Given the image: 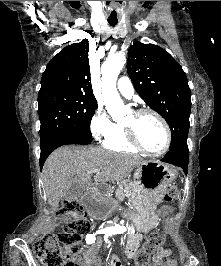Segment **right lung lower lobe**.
<instances>
[{
	"instance_id": "right-lung-lower-lobe-1",
	"label": "right lung lower lobe",
	"mask_w": 221,
	"mask_h": 266,
	"mask_svg": "<svg viewBox=\"0 0 221 266\" xmlns=\"http://www.w3.org/2000/svg\"><path fill=\"white\" fill-rule=\"evenodd\" d=\"M89 143H91V141L84 140V139H82L80 137L63 136V137L57 139L55 142L41 147V155H40V167H41V169L43 167V164H44L46 158L56 148H58V147H60L62 145H68V144L86 145V144H89Z\"/></svg>"
}]
</instances>
